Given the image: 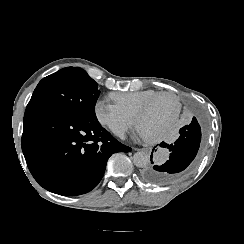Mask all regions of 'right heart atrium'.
<instances>
[{"mask_svg": "<svg viewBox=\"0 0 244 244\" xmlns=\"http://www.w3.org/2000/svg\"><path fill=\"white\" fill-rule=\"evenodd\" d=\"M94 110L98 121L118 137H124L128 131L139 126V119L134 113L109 99L98 100ZM143 134L148 136L150 131L145 130Z\"/></svg>", "mask_w": 244, "mask_h": 244, "instance_id": "right-heart-atrium-1", "label": "right heart atrium"}]
</instances>
